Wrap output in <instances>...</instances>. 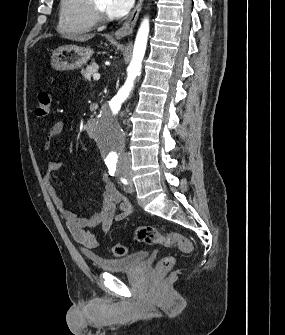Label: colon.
Returning <instances> with one entry per match:
<instances>
[{"instance_id": "colon-1", "label": "colon", "mask_w": 285, "mask_h": 335, "mask_svg": "<svg viewBox=\"0 0 285 335\" xmlns=\"http://www.w3.org/2000/svg\"><path fill=\"white\" fill-rule=\"evenodd\" d=\"M52 96L49 90H42L37 97L36 115L45 117L51 110ZM134 238L146 244H161L166 247L176 246L185 254L193 251L192 242L177 232H169L167 234L160 233L154 226L142 225L134 230ZM128 249L122 244H116L112 247V253L121 257L126 255ZM175 259L172 256L164 257L157 266V273L163 275L167 273L174 265Z\"/></svg>"}]
</instances>
